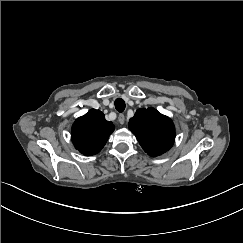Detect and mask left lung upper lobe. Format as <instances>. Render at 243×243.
<instances>
[{
	"mask_svg": "<svg viewBox=\"0 0 243 243\" xmlns=\"http://www.w3.org/2000/svg\"><path fill=\"white\" fill-rule=\"evenodd\" d=\"M129 129L145 152L152 157L165 153L174 143L173 122L152 107L138 109L129 121Z\"/></svg>",
	"mask_w": 243,
	"mask_h": 243,
	"instance_id": "1",
	"label": "left lung upper lobe"
}]
</instances>
